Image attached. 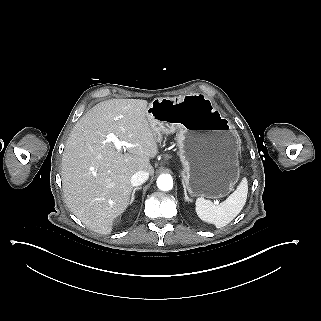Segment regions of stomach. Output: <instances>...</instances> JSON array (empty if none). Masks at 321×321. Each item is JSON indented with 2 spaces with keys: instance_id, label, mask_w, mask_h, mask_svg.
Wrapping results in <instances>:
<instances>
[{
  "instance_id": "1",
  "label": "stomach",
  "mask_w": 321,
  "mask_h": 321,
  "mask_svg": "<svg viewBox=\"0 0 321 321\" xmlns=\"http://www.w3.org/2000/svg\"><path fill=\"white\" fill-rule=\"evenodd\" d=\"M197 93L156 97L147 117L157 139L176 133L179 171L184 189L191 197H226L239 181L240 143L230 119L209 106Z\"/></svg>"
}]
</instances>
